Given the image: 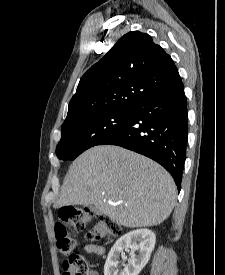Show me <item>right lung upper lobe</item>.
Returning <instances> with one entry per match:
<instances>
[{"mask_svg": "<svg viewBox=\"0 0 225 275\" xmlns=\"http://www.w3.org/2000/svg\"><path fill=\"white\" fill-rule=\"evenodd\" d=\"M181 83L173 60L150 35L129 32L82 76L62 126L97 113L132 110Z\"/></svg>", "mask_w": 225, "mask_h": 275, "instance_id": "1", "label": "right lung upper lobe"}]
</instances>
